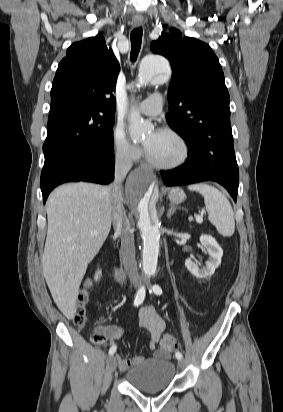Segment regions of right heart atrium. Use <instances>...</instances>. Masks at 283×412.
Segmentation results:
<instances>
[{
    "instance_id": "1",
    "label": "right heart atrium",
    "mask_w": 283,
    "mask_h": 412,
    "mask_svg": "<svg viewBox=\"0 0 283 412\" xmlns=\"http://www.w3.org/2000/svg\"><path fill=\"white\" fill-rule=\"evenodd\" d=\"M111 144L115 156L123 162L133 163L142 155L141 147L133 143L120 126L113 128Z\"/></svg>"
}]
</instances>
